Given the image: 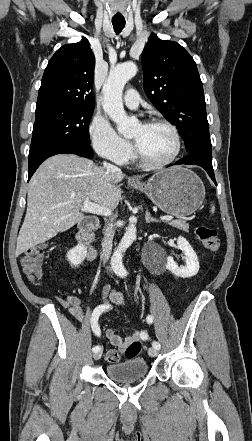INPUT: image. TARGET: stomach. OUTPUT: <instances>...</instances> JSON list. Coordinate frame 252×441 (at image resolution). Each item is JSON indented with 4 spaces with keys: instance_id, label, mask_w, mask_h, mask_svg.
<instances>
[{
    "instance_id": "obj_1",
    "label": "stomach",
    "mask_w": 252,
    "mask_h": 441,
    "mask_svg": "<svg viewBox=\"0 0 252 441\" xmlns=\"http://www.w3.org/2000/svg\"><path fill=\"white\" fill-rule=\"evenodd\" d=\"M131 185L144 192L162 211L176 217L194 213L205 198L201 179L181 166L157 172L146 184Z\"/></svg>"
}]
</instances>
